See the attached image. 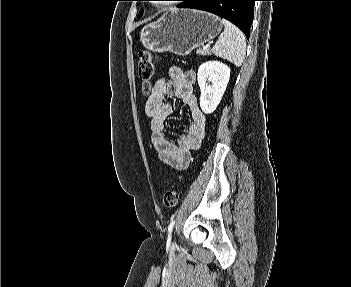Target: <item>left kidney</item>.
Instances as JSON below:
<instances>
[{"label": "left kidney", "instance_id": "left-kidney-1", "mask_svg": "<svg viewBox=\"0 0 351 287\" xmlns=\"http://www.w3.org/2000/svg\"><path fill=\"white\" fill-rule=\"evenodd\" d=\"M229 78L230 68L220 61H207L200 65L197 80L201 90L200 107L205 114L213 113L216 110L226 90Z\"/></svg>", "mask_w": 351, "mask_h": 287}]
</instances>
